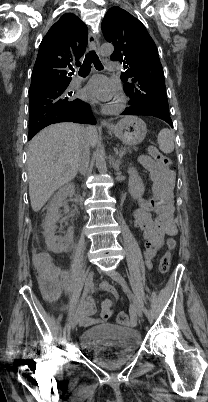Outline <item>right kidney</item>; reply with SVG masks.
I'll return each mask as SVG.
<instances>
[{
  "mask_svg": "<svg viewBox=\"0 0 208 402\" xmlns=\"http://www.w3.org/2000/svg\"><path fill=\"white\" fill-rule=\"evenodd\" d=\"M74 192V184H66V186H62L59 192L55 194L50 204L49 214L44 222L45 242L48 248H50L51 252H55V254L66 252L68 244H62V242H71L73 238V230H70V232H68L66 238H58V236H55V232L56 222H59L61 218L60 208H62L63 206L65 214L69 212V208L67 206V198H71V196H74ZM57 242H59V244H57Z\"/></svg>",
  "mask_w": 208,
  "mask_h": 402,
  "instance_id": "1",
  "label": "right kidney"
}]
</instances>
